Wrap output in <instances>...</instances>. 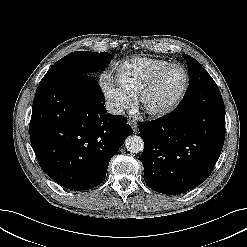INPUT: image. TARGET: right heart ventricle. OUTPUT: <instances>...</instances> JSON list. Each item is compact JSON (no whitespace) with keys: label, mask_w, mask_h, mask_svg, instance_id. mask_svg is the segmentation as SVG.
I'll use <instances>...</instances> for the list:
<instances>
[{"label":"right heart ventricle","mask_w":247,"mask_h":247,"mask_svg":"<svg viewBox=\"0 0 247 247\" xmlns=\"http://www.w3.org/2000/svg\"><path fill=\"white\" fill-rule=\"evenodd\" d=\"M170 64L166 60L136 57L124 61L115 69V81L129 97L136 96L141 86L158 69Z\"/></svg>","instance_id":"e07e8e85"}]
</instances>
